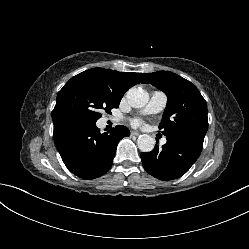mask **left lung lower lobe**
<instances>
[{
	"label": "left lung lower lobe",
	"instance_id": "0a47b994",
	"mask_svg": "<svg viewBox=\"0 0 249 249\" xmlns=\"http://www.w3.org/2000/svg\"><path fill=\"white\" fill-rule=\"evenodd\" d=\"M167 143L148 153H141L144 169L155 178L168 181L181 177L198 159L204 137L195 134H175L166 137Z\"/></svg>",
	"mask_w": 249,
	"mask_h": 249
}]
</instances>
